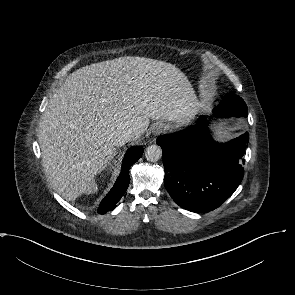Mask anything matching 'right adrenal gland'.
Listing matches in <instances>:
<instances>
[{
	"instance_id": "right-adrenal-gland-1",
	"label": "right adrenal gland",
	"mask_w": 295,
	"mask_h": 295,
	"mask_svg": "<svg viewBox=\"0 0 295 295\" xmlns=\"http://www.w3.org/2000/svg\"><path fill=\"white\" fill-rule=\"evenodd\" d=\"M118 154V150L115 151L114 157Z\"/></svg>"
}]
</instances>
